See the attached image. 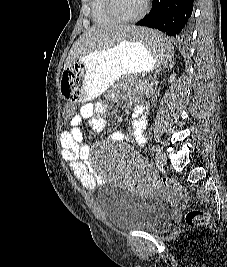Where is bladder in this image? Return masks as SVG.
<instances>
[{
  "label": "bladder",
  "instance_id": "1",
  "mask_svg": "<svg viewBox=\"0 0 227 267\" xmlns=\"http://www.w3.org/2000/svg\"><path fill=\"white\" fill-rule=\"evenodd\" d=\"M99 202L108 222L119 229L159 232L170 218L169 207L154 195H135L114 184L100 194Z\"/></svg>",
  "mask_w": 227,
  "mask_h": 267
}]
</instances>
